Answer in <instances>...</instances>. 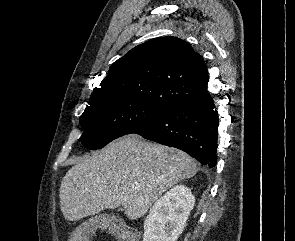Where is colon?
<instances>
[{"label": "colon", "mask_w": 295, "mask_h": 241, "mask_svg": "<svg viewBox=\"0 0 295 241\" xmlns=\"http://www.w3.org/2000/svg\"><path fill=\"white\" fill-rule=\"evenodd\" d=\"M94 227L107 228L119 241H137L132 229L120 218L106 216L99 217L80 229L71 232L69 241H88Z\"/></svg>", "instance_id": "5ec220e1"}]
</instances>
